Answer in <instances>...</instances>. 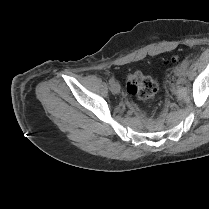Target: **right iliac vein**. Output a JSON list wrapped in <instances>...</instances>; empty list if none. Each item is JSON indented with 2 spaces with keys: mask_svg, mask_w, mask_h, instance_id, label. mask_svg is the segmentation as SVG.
<instances>
[{
  "mask_svg": "<svg viewBox=\"0 0 209 209\" xmlns=\"http://www.w3.org/2000/svg\"><path fill=\"white\" fill-rule=\"evenodd\" d=\"M110 90L112 93L117 94L120 92V85L118 82H114L110 86Z\"/></svg>",
  "mask_w": 209,
  "mask_h": 209,
  "instance_id": "obj_1",
  "label": "right iliac vein"
}]
</instances>
